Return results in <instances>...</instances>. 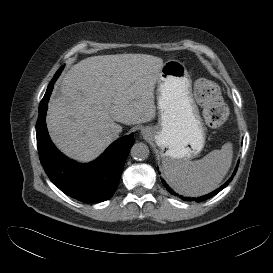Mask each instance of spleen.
Instances as JSON below:
<instances>
[{"label": "spleen", "mask_w": 273, "mask_h": 273, "mask_svg": "<svg viewBox=\"0 0 273 273\" xmlns=\"http://www.w3.org/2000/svg\"><path fill=\"white\" fill-rule=\"evenodd\" d=\"M233 157L232 143L213 150L195 161H162L169 184L179 193L189 196L205 195L216 189L227 174Z\"/></svg>", "instance_id": "obj_1"}]
</instances>
